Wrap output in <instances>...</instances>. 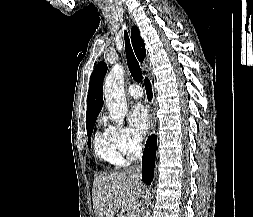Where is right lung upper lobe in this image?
I'll return each mask as SVG.
<instances>
[{"label": "right lung upper lobe", "mask_w": 253, "mask_h": 217, "mask_svg": "<svg viewBox=\"0 0 253 217\" xmlns=\"http://www.w3.org/2000/svg\"><path fill=\"white\" fill-rule=\"evenodd\" d=\"M131 41L138 60L142 62L146 56V50L144 41L140 37V31L136 26L131 29ZM106 71L107 65L100 62L91 74L87 99V122L95 120L102 109L103 79Z\"/></svg>", "instance_id": "cb5924a9"}]
</instances>
